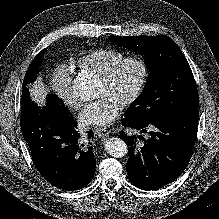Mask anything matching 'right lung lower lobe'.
<instances>
[{"mask_svg": "<svg viewBox=\"0 0 219 219\" xmlns=\"http://www.w3.org/2000/svg\"><path fill=\"white\" fill-rule=\"evenodd\" d=\"M27 87L21 96V130L34 165L44 178L62 190H78L88 185L95 173L96 160L87 139L77 131L70 114L48 105L34 103Z\"/></svg>", "mask_w": 219, "mask_h": 219, "instance_id": "1", "label": "right lung lower lobe"}]
</instances>
